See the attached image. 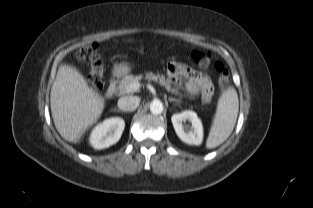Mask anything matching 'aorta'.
Here are the masks:
<instances>
[{
	"instance_id": "obj_1",
	"label": "aorta",
	"mask_w": 313,
	"mask_h": 208,
	"mask_svg": "<svg viewBox=\"0 0 313 208\" xmlns=\"http://www.w3.org/2000/svg\"><path fill=\"white\" fill-rule=\"evenodd\" d=\"M150 111L153 114H161L163 112V104L160 100H154L150 104Z\"/></svg>"
}]
</instances>
